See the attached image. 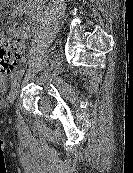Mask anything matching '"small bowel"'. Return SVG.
<instances>
[{
    "instance_id": "c3829d8e",
    "label": "small bowel",
    "mask_w": 133,
    "mask_h": 173,
    "mask_svg": "<svg viewBox=\"0 0 133 173\" xmlns=\"http://www.w3.org/2000/svg\"><path fill=\"white\" fill-rule=\"evenodd\" d=\"M44 2L45 0H23L18 5L14 13L17 16H21L26 13L28 16V21L22 29L18 27H13L9 30V33L14 35H20L23 38L24 42V38L31 35L35 31L36 25L42 15V7ZM8 41V37L5 36V34L0 33V47L5 46Z\"/></svg>"
}]
</instances>
